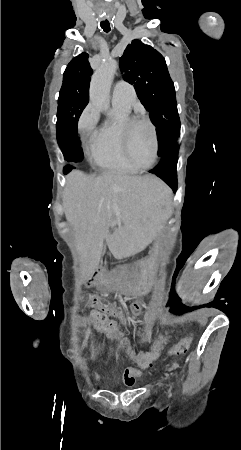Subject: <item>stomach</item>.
<instances>
[{"label":"stomach","mask_w":241,"mask_h":450,"mask_svg":"<svg viewBox=\"0 0 241 450\" xmlns=\"http://www.w3.org/2000/svg\"><path fill=\"white\" fill-rule=\"evenodd\" d=\"M161 249L160 242L156 241L149 255L135 265V267L114 273L112 285L115 288L127 289L139 293L150 290L155 283Z\"/></svg>","instance_id":"1"}]
</instances>
